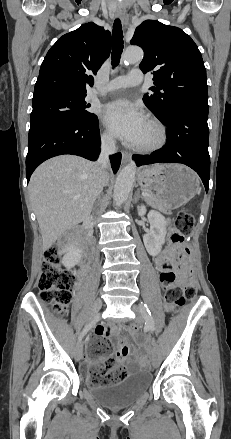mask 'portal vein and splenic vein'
Segmentation results:
<instances>
[{
    "mask_svg": "<svg viewBox=\"0 0 231 439\" xmlns=\"http://www.w3.org/2000/svg\"><path fill=\"white\" fill-rule=\"evenodd\" d=\"M142 195L146 197V196H148V193L143 192Z\"/></svg>",
    "mask_w": 231,
    "mask_h": 439,
    "instance_id": "18ae733b",
    "label": "portal vein and splenic vein"
}]
</instances>
